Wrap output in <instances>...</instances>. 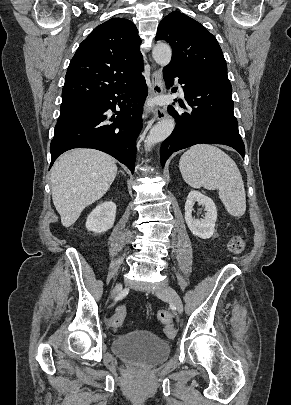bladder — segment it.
I'll return each instance as SVG.
<instances>
[{"label": "bladder", "instance_id": "31cf9c89", "mask_svg": "<svg viewBox=\"0 0 291 405\" xmlns=\"http://www.w3.org/2000/svg\"><path fill=\"white\" fill-rule=\"evenodd\" d=\"M112 351L124 362L150 367L167 359L171 346L157 334L139 329L116 337Z\"/></svg>", "mask_w": 291, "mask_h": 405}]
</instances>
